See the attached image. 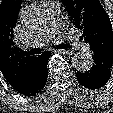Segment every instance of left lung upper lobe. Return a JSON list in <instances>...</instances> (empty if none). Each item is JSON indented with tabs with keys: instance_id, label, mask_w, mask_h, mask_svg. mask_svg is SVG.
<instances>
[{
	"instance_id": "left-lung-upper-lobe-1",
	"label": "left lung upper lobe",
	"mask_w": 113,
	"mask_h": 113,
	"mask_svg": "<svg viewBox=\"0 0 113 113\" xmlns=\"http://www.w3.org/2000/svg\"><path fill=\"white\" fill-rule=\"evenodd\" d=\"M78 29L80 39L89 43L92 51L113 56V31L110 19L99 0H63Z\"/></svg>"
}]
</instances>
